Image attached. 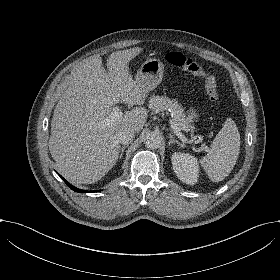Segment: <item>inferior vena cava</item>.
Here are the masks:
<instances>
[{
	"instance_id": "obj_1",
	"label": "inferior vena cava",
	"mask_w": 280,
	"mask_h": 280,
	"mask_svg": "<svg viewBox=\"0 0 280 280\" xmlns=\"http://www.w3.org/2000/svg\"><path fill=\"white\" fill-rule=\"evenodd\" d=\"M116 137L121 144L128 145L135 138L134 131L124 130L116 133Z\"/></svg>"
}]
</instances>
